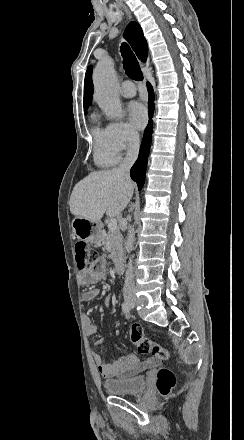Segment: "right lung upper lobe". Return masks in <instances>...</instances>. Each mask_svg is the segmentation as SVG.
Returning a JSON list of instances; mask_svg holds the SVG:
<instances>
[{
	"label": "right lung upper lobe",
	"instance_id": "right-lung-upper-lobe-1",
	"mask_svg": "<svg viewBox=\"0 0 244 440\" xmlns=\"http://www.w3.org/2000/svg\"><path fill=\"white\" fill-rule=\"evenodd\" d=\"M124 37L129 41L138 58L142 61H146L148 45L140 25L136 22L129 23L125 30ZM92 92V68L88 67L84 81V110H87L91 104Z\"/></svg>",
	"mask_w": 244,
	"mask_h": 440
}]
</instances>
